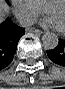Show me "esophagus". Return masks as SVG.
<instances>
[{"instance_id": "34e87169", "label": "esophagus", "mask_w": 65, "mask_h": 89, "mask_svg": "<svg viewBox=\"0 0 65 89\" xmlns=\"http://www.w3.org/2000/svg\"><path fill=\"white\" fill-rule=\"evenodd\" d=\"M28 31L34 32V33H38V34H42L43 33L41 30H38V29H35V28H29Z\"/></svg>"}]
</instances>
